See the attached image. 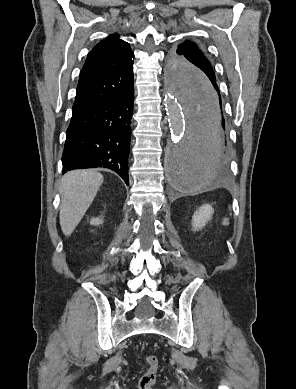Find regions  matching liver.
<instances>
[{
    "label": "liver",
    "instance_id": "liver-1",
    "mask_svg": "<svg viewBox=\"0 0 296 389\" xmlns=\"http://www.w3.org/2000/svg\"><path fill=\"white\" fill-rule=\"evenodd\" d=\"M102 183V174L93 170H74L62 177L59 219L65 236H70L79 224Z\"/></svg>",
    "mask_w": 296,
    "mask_h": 389
}]
</instances>
